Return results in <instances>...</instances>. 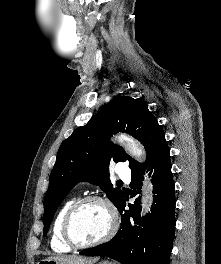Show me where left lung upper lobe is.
I'll list each match as a JSON object with an SVG mask.
<instances>
[{"label": "left lung upper lobe", "instance_id": "obj_1", "mask_svg": "<svg viewBox=\"0 0 221 264\" xmlns=\"http://www.w3.org/2000/svg\"><path fill=\"white\" fill-rule=\"evenodd\" d=\"M118 132L128 133L144 145L147 152L144 164L110 142L109 138ZM164 140L162 127L144 102L126 96L116 97L108 103L97 116L64 140L58 150L44 197L43 236L47 234L58 206L80 181L100 186L118 207L123 200V191L111 184L109 164L129 161L132 174L138 173L150 163Z\"/></svg>", "mask_w": 221, "mask_h": 264}]
</instances>
